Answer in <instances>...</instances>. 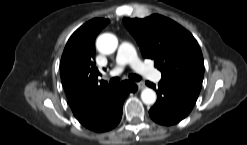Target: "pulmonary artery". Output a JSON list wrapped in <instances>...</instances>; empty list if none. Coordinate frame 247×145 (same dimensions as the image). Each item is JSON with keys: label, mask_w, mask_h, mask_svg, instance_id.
I'll list each match as a JSON object with an SVG mask.
<instances>
[{"label": "pulmonary artery", "mask_w": 247, "mask_h": 145, "mask_svg": "<svg viewBox=\"0 0 247 145\" xmlns=\"http://www.w3.org/2000/svg\"><path fill=\"white\" fill-rule=\"evenodd\" d=\"M126 64H129L134 70L150 80L157 82L161 79V72L142 63L137 57L134 47L130 43L124 42L118 50L115 66L109 72V75L116 76L120 74Z\"/></svg>", "instance_id": "e3ab8cb5"}]
</instances>
